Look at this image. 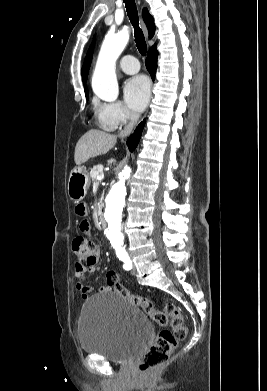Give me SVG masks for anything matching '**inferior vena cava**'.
<instances>
[{
  "label": "inferior vena cava",
  "mask_w": 267,
  "mask_h": 391,
  "mask_svg": "<svg viewBox=\"0 0 267 391\" xmlns=\"http://www.w3.org/2000/svg\"><path fill=\"white\" fill-rule=\"evenodd\" d=\"M128 119H129L128 125H126L124 127V129L119 134V136H121V137H126L131 133L133 127L135 126V124L137 123V121L139 119V115L134 112H129Z\"/></svg>",
  "instance_id": "1"
}]
</instances>
